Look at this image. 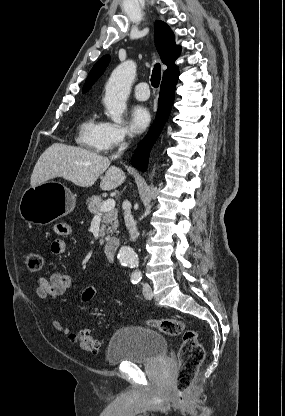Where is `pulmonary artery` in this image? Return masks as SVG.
<instances>
[{"label": "pulmonary artery", "mask_w": 285, "mask_h": 416, "mask_svg": "<svg viewBox=\"0 0 285 416\" xmlns=\"http://www.w3.org/2000/svg\"><path fill=\"white\" fill-rule=\"evenodd\" d=\"M148 84L146 82H140L133 87L134 95L138 100H146L148 99L149 95L147 87Z\"/></svg>", "instance_id": "1"}]
</instances>
